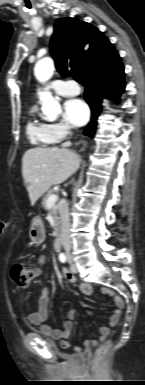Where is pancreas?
<instances>
[{"label": "pancreas", "instance_id": "obj_1", "mask_svg": "<svg viewBox=\"0 0 145 385\" xmlns=\"http://www.w3.org/2000/svg\"><path fill=\"white\" fill-rule=\"evenodd\" d=\"M53 194V190H49L46 195H44L43 199H42V205L44 207V209L46 211H49L50 214L53 216L54 218V221H55V224L56 226L58 227V224H59V218L57 216V213H58V206L56 204H54L51 209L48 210L47 208V199L49 198L50 195ZM56 231H58V229L56 228Z\"/></svg>", "mask_w": 145, "mask_h": 385}]
</instances>
